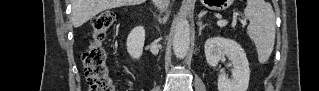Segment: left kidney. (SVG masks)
I'll return each instance as SVG.
<instances>
[{"mask_svg": "<svg viewBox=\"0 0 319 91\" xmlns=\"http://www.w3.org/2000/svg\"><path fill=\"white\" fill-rule=\"evenodd\" d=\"M207 63L216 67L219 60L226 56L233 64L232 77L218 76V91H247L250 78L246 54L236 41L221 36L209 38L204 46Z\"/></svg>", "mask_w": 319, "mask_h": 91, "instance_id": "obj_1", "label": "left kidney"}]
</instances>
